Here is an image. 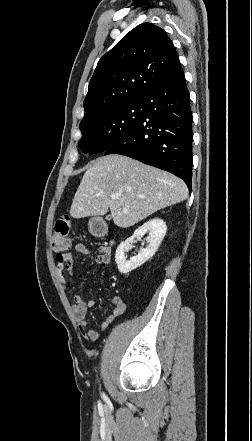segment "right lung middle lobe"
<instances>
[{"mask_svg":"<svg viewBox=\"0 0 252 441\" xmlns=\"http://www.w3.org/2000/svg\"><path fill=\"white\" fill-rule=\"evenodd\" d=\"M141 99L101 111L81 121L79 147L90 154L104 152L124 138L140 121Z\"/></svg>","mask_w":252,"mask_h":441,"instance_id":"obj_1","label":"right lung middle lobe"}]
</instances>
